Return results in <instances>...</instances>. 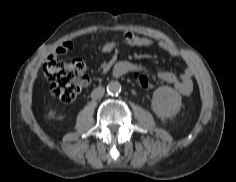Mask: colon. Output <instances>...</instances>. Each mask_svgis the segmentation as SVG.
<instances>
[{"instance_id":"obj_1","label":"colon","mask_w":236,"mask_h":182,"mask_svg":"<svg viewBox=\"0 0 236 182\" xmlns=\"http://www.w3.org/2000/svg\"><path fill=\"white\" fill-rule=\"evenodd\" d=\"M44 74L50 85L51 94L62 102H72L87 84L88 76L85 65L80 60L70 63L50 55L44 65ZM134 83L141 89H150L152 83L142 72L133 73Z\"/></svg>"}]
</instances>
